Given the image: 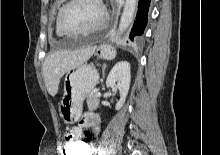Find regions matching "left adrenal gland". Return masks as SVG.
Returning a JSON list of instances; mask_svg holds the SVG:
<instances>
[{
    "label": "left adrenal gland",
    "instance_id": "1",
    "mask_svg": "<svg viewBox=\"0 0 220 155\" xmlns=\"http://www.w3.org/2000/svg\"><path fill=\"white\" fill-rule=\"evenodd\" d=\"M105 69H106V65L104 64L103 67H102V76L104 78V75H105Z\"/></svg>",
    "mask_w": 220,
    "mask_h": 155
}]
</instances>
